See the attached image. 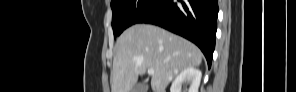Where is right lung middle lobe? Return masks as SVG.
Segmentation results:
<instances>
[{"instance_id":"1","label":"right lung middle lobe","mask_w":296,"mask_h":92,"mask_svg":"<svg viewBox=\"0 0 296 92\" xmlns=\"http://www.w3.org/2000/svg\"><path fill=\"white\" fill-rule=\"evenodd\" d=\"M160 0H112V28L114 37L120 35L127 27L137 23L152 10Z\"/></svg>"}]
</instances>
